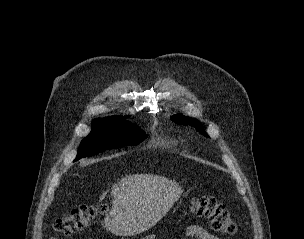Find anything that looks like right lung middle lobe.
<instances>
[{
  "label": "right lung middle lobe",
  "instance_id": "obj_1",
  "mask_svg": "<svg viewBox=\"0 0 304 239\" xmlns=\"http://www.w3.org/2000/svg\"><path fill=\"white\" fill-rule=\"evenodd\" d=\"M147 135L134 124L118 118L95 119L92 131L82 140L76 159L90 157L107 149L137 145Z\"/></svg>",
  "mask_w": 304,
  "mask_h": 239
}]
</instances>
